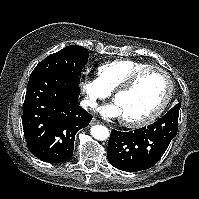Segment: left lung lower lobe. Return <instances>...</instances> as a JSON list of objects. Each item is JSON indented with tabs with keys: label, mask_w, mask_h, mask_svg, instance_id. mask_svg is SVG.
Returning a JSON list of instances; mask_svg holds the SVG:
<instances>
[{
	"label": "left lung lower lobe",
	"mask_w": 199,
	"mask_h": 199,
	"mask_svg": "<svg viewBox=\"0 0 199 199\" xmlns=\"http://www.w3.org/2000/svg\"><path fill=\"white\" fill-rule=\"evenodd\" d=\"M179 109L174 106L147 127L129 132L113 130L107 148L110 164L126 172L142 171L154 166L177 134Z\"/></svg>",
	"instance_id": "left-lung-lower-lobe-1"
}]
</instances>
